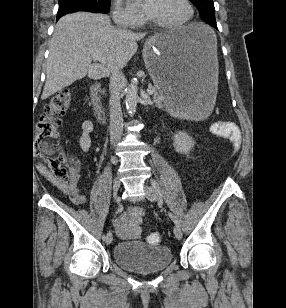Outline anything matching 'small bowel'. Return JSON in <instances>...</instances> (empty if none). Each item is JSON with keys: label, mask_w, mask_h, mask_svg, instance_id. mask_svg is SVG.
Listing matches in <instances>:
<instances>
[{"label": "small bowel", "mask_w": 286, "mask_h": 308, "mask_svg": "<svg viewBox=\"0 0 286 308\" xmlns=\"http://www.w3.org/2000/svg\"><path fill=\"white\" fill-rule=\"evenodd\" d=\"M232 131L228 137L231 141H240L241 135L239 129L229 123ZM94 124L91 120H85L81 124V134L79 136V145L82 151L88 152L92 146L91 133L93 132ZM71 169L73 175L67 184L59 183L53 180L47 170L41 166L40 172L46 178L51 180L75 205H81L85 202V196L80 186V167L77 161H72ZM141 211L137 208H129L113 219V227L121 239H136L140 234Z\"/></svg>", "instance_id": "c3829d8e"}]
</instances>
